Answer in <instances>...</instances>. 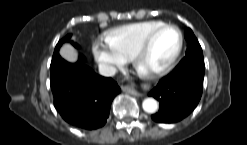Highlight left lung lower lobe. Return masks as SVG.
I'll return each instance as SVG.
<instances>
[{
  "label": "left lung lower lobe",
  "mask_w": 247,
  "mask_h": 145,
  "mask_svg": "<svg viewBox=\"0 0 247 145\" xmlns=\"http://www.w3.org/2000/svg\"><path fill=\"white\" fill-rule=\"evenodd\" d=\"M203 54L185 55L177 67L149 93L159 101L158 113L152 119L174 123L188 116L197 106L203 89Z\"/></svg>",
  "instance_id": "left-lung-lower-lobe-1"
}]
</instances>
